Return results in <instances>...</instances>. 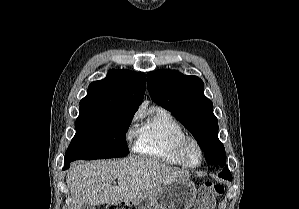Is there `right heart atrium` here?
Here are the masks:
<instances>
[{"label": "right heart atrium", "mask_w": 299, "mask_h": 209, "mask_svg": "<svg viewBox=\"0 0 299 209\" xmlns=\"http://www.w3.org/2000/svg\"><path fill=\"white\" fill-rule=\"evenodd\" d=\"M135 120H136V118L134 117V118L132 119L131 125H134ZM133 136H134V132H133L131 129L128 130L127 133H126V137H127V139H128V140H131V139L133 138Z\"/></svg>", "instance_id": "obj_1"}]
</instances>
